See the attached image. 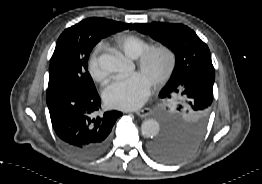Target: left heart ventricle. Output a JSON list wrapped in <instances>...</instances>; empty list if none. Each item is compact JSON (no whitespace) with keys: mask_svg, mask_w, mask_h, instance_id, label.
<instances>
[{"mask_svg":"<svg viewBox=\"0 0 262 184\" xmlns=\"http://www.w3.org/2000/svg\"><path fill=\"white\" fill-rule=\"evenodd\" d=\"M167 66V57L163 54H159L150 63L149 67L141 73L145 75L150 81L161 73Z\"/></svg>","mask_w":262,"mask_h":184,"instance_id":"b2bd125f","label":"left heart ventricle"}]
</instances>
